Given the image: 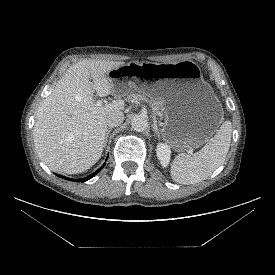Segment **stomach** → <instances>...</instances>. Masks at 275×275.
Returning a JSON list of instances; mask_svg holds the SVG:
<instances>
[{
    "instance_id": "0dacf381",
    "label": "stomach",
    "mask_w": 275,
    "mask_h": 275,
    "mask_svg": "<svg viewBox=\"0 0 275 275\" xmlns=\"http://www.w3.org/2000/svg\"><path fill=\"white\" fill-rule=\"evenodd\" d=\"M114 89H131L163 102L162 137L177 152L206 143L223 120V109L212 87L193 61L130 62L107 73Z\"/></svg>"
}]
</instances>
